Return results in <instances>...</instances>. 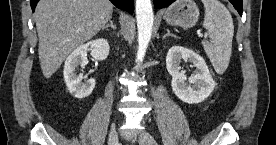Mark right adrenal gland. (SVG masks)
Listing matches in <instances>:
<instances>
[{
  "label": "right adrenal gland",
  "instance_id": "right-adrenal-gland-1",
  "mask_svg": "<svg viewBox=\"0 0 276 145\" xmlns=\"http://www.w3.org/2000/svg\"><path fill=\"white\" fill-rule=\"evenodd\" d=\"M109 27H111L113 30H116V26L113 24L112 18H110L109 24L106 25V26H104V27L102 28V30H106V29H108Z\"/></svg>",
  "mask_w": 276,
  "mask_h": 145
}]
</instances>
